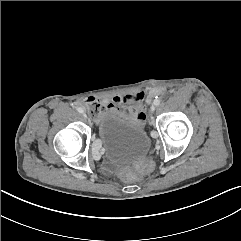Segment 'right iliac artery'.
<instances>
[{
	"label": "right iliac artery",
	"instance_id": "obj_1",
	"mask_svg": "<svg viewBox=\"0 0 241 241\" xmlns=\"http://www.w3.org/2000/svg\"><path fill=\"white\" fill-rule=\"evenodd\" d=\"M77 111H78L79 113H83L84 110L79 107V108H77Z\"/></svg>",
	"mask_w": 241,
	"mask_h": 241
}]
</instances>
